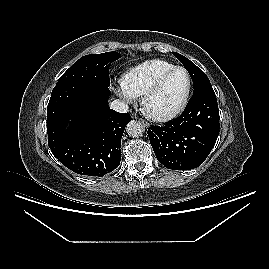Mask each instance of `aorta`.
Instances as JSON below:
<instances>
[{"instance_id":"1","label":"aorta","mask_w":269,"mask_h":269,"mask_svg":"<svg viewBox=\"0 0 269 269\" xmlns=\"http://www.w3.org/2000/svg\"><path fill=\"white\" fill-rule=\"evenodd\" d=\"M126 131L130 137L138 138L143 135L145 126L140 121L132 120L127 124Z\"/></svg>"}]
</instances>
